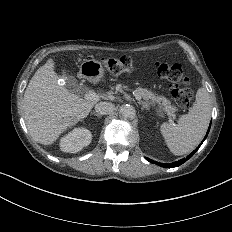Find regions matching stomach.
I'll return each instance as SVG.
<instances>
[{"mask_svg":"<svg viewBox=\"0 0 232 232\" xmlns=\"http://www.w3.org/2000/svg\"><path fill=\"white\" fill-rule=\"evenodd\" d=\"M80 73L84 78L92 82H97L103 77L104 68L101 62L97 60H85L80 66Z\"/></svg>","mask_w":232,"mask_h":232,"instance_id":"obj_1","label":"stomach"}]
</instances>
